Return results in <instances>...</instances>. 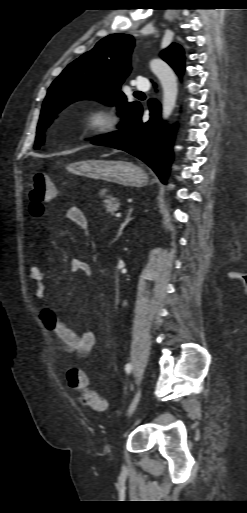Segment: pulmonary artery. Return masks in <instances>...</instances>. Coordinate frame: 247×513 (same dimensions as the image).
<instances>
[{
    "instance_id": "obj_1",
    "label": "pulmonary artery",
    "mask_w": 247,
    "mask_h": 513,
    "mask_svg": "<svg viewBox=\"0 0 247 513\" xmlns=\"http://www.w3.org/2000/svg\"><path fill=\"white\" fill-rule=\"evenodd\" d=\"M150 88V84L146 79H140L136 82V89L140 91H147Z\"/></svg>"
}]
</instances>
